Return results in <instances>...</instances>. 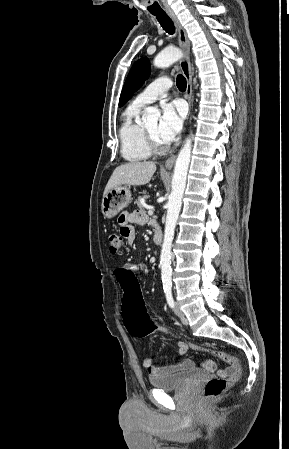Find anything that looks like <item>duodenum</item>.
I'll return each mask as SVG.
<instances>
[{
	"mask_svg": "<svg viewBox=\"0 0 289 449\" xmlns=\"http://www.w3.org/2000/svg\"><path fill=\"white\" fill-rule=\"evenodd\" d=\"M153 241L156 245H161L163 242V233L158 226L155 227Z\"/></svg>",
	"mask_w": 289,
	"mask_h": 449,
	"instance_id": "obj_1",
	"label": "duodenum"
}]
</instances>
